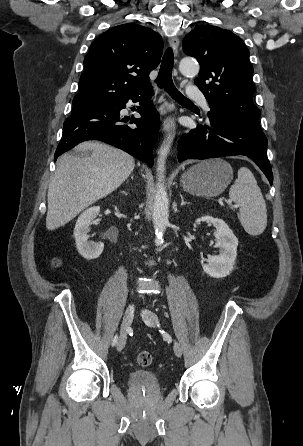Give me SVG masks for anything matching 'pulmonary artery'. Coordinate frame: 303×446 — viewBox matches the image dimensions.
<instances>
[{"label": "pulmonary artery", "mask_w": 303, "mask_h": 446, "mask_svg": "<svg viewBox=\"0 0 303 446\" xmlns=\"http://www.w3.org/2000/svg\"><path fill=\"white\" fill-rule=\"evenodd\" d=\"M187 95L190 99L200 102L206 111H209V106L203 95V93L194 86H190L187 91Z\"/></svg>", "instance_id": "obj_1"}]
</instances>
